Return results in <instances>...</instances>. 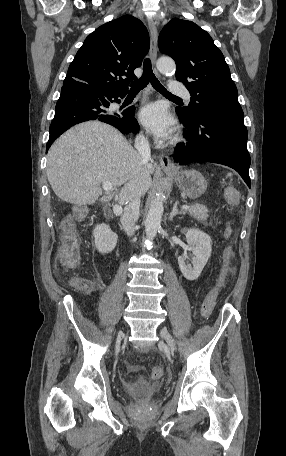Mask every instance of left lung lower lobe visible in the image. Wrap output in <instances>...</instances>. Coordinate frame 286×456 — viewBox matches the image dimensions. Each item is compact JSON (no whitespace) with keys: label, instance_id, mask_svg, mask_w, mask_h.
Listing matches in <instances>:
<instances>
[{"label":"left lung lower lobe","instance_id":"0a47b994","mask_svg":"<svg viewBox=\"0 0 286 456\" xmlns=\"http://www.w3.org/2000/svg\"><path fill=\"white\" fill-rule=\"evenodd\" d=\"M176 113L186 127V145L175 148L174 160L180 165L213 162L235 169L250 188V155L247 150V128L243 118L218 111H201L187 118Z\"/></svg>","mask_w":286,"mask_h":456}]
</instances>
